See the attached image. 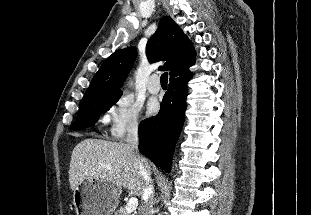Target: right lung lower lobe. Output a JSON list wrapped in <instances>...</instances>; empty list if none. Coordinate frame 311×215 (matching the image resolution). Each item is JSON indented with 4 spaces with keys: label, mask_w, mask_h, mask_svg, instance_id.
<instances>
[{
    "label": "right lung lower lobe",
    "mask_w": 311,
    "mask_h": 215,
    "mask_svg": "<svg viewBox=\"0 0 311 215\" xmlns=\"http://www.w3.org/2000/svg\"><path fill=\"white\" fill-rule=\"evenodd\" d=\"M191 76L187 69L171 78L159 113L139 125L140 152L166 172L170 171L174 146L185 119L187 82Z\"/></svg>",
    "instance_id": "obj_1"
}]
</instances>
